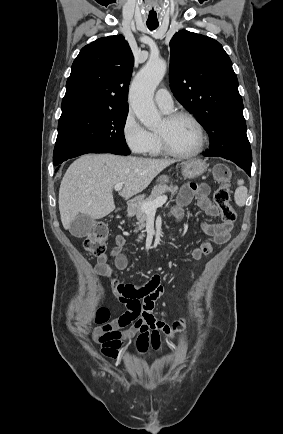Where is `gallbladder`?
I'll return each mask as SVG.
<instances>
[{
    "instance_id": "obj_1",
    "label": "gallbladder",
    "mask_w": 283,
    "mask_h": 434,
    "mask_svg": "<svg viewBox=\"0 0 283 434\" xmlns=\"http://www.w3.org/2000/svg\"><path fill=\"white\" fill-rule=\"evenodd\" d=\"M96 227V220L87 215H78L71 223L69 231L77 238L90 234Z\"/></svg>"
}]
</instances>
